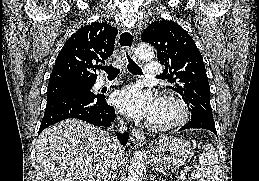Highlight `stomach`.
Masks as SVG:
<instances>
[{
	"label": "stomach",
	"instance_id": "0dacf381",
	"mask_svg": "<svg viewBox=\"0 0 259 181\" xmlns=\"http://www.w3.org/2000/svg\"><path fill=\"white\" fill-rule=\"evenodd\" d=\"M194 148L186 140L176 137H162L149 151V161L158 168H177L188 162Z\"/></svg>",
	"mask_w": 259,
	"mask_h": 181
}]
</instances>
